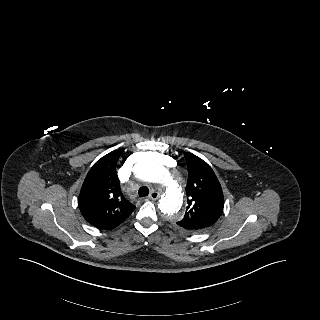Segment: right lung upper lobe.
<instances>
[{
    "instance_id": "obj_1",
    "label": "right lung upper lobe",
    "mask_w": 320,
    "mask_h": 320,
    "mask_svg": "<svg viewBox=\"0 0 320 320\" xmlns=\"http://www.w3.org/2000/svg\"><path fill=\"white\" fill-rule=\"evenodd\" d=\"M121 154L122 151L114 150L100 158L88 172L80 191V211L98 229L117 227L135 209L120 189L116 164Z\"/></svg>"
}]
</instances>
